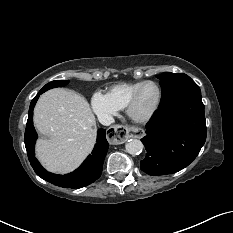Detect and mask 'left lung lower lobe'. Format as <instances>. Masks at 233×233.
I'll return each mask as SVG.
<instances>
[{"label": "left lung lower lobe", "instance_id": "1", "mask_svg": "<svg viewBox=\"0 0 233 233\" xmlns=\"http://www.w3.org/2000/svg\"><path fill=\"white\" fill-rule=\"evenodd\" d=\"M141 139L146 148L141 170L149 175H167L188 166L206 140L201 93H189L160 105L146 125Z\"/></svg>", "mask_w": 233, "mask_h": 233}]
</instances>
